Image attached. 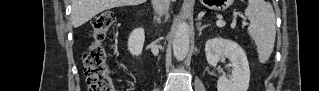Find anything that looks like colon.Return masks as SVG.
<instances>
[{
	"mask_svg": "<svg viewBox=\"0 0 319 91\" xmlns=\"http://www.w3.org/2000/svg\"><path fill=\"white\" fill-rule=\"evenodd\" d=\"M114 22L112 12H102L92 21L93 40L83 55L85 75L89 91H115L116 86L107 63L102 45L109 28Z\"/></svg>",
	"mask_w": 319,
	"mask_h": 91,
	"instance_id": "obj_1",
	"label": "colon"
}]
</instances>
